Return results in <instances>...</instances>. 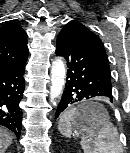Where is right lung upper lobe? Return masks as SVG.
<instances>
[{
  "instance_id": "obj_1",
  "label": "right lung upper lobe",
  "mask_w": 130,
  "mask_h": 153,
  "mask_svg": "<svg viewBox=\"0 0 130 153\" xmlns=\"http://www.w3.org/2000/svg\"><path fill=\"white\" fill-rule=\"evenodd\" d=\"M27 34L12 21L0 27V68L21 64L27 60Z\"/></svg>"
}]
</instances>
